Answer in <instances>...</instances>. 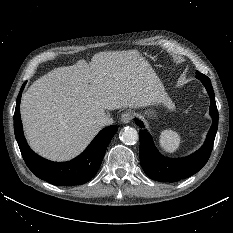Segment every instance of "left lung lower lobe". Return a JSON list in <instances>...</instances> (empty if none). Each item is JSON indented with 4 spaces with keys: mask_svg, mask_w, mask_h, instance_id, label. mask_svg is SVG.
Returning <instances> with one entry per match:
<instances>
[{
    "mask_svg": "<svg viewBox=\"0 0 233 233\" xmlns=\"http://www.w3.org/2000/svg\"><path fill=\"white\" fill-rule=\"evenodd\" d=\"M198 79L205 86L210 97V115L213 119L212 126L207 134L203 146L195 153L180 159L166 158L162 156L154 146L151 135L146 131H140V162L141 166L151 179L162 182H176L190 177L198 172L208 161L218 128V110L215 103V95L210 79L203 75ZM137 124L143 127V123L137 120Z\"/></svg>",
    "mask_w": 233,
    "mask_h": 233,
    "instance_id": "obj_1",
    "label": "left lung lower lobe"
}]
</instances>
